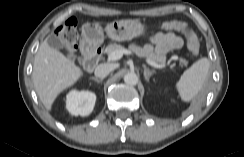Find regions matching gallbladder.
Instances as JSON below:
<instances>
[{
	"mask_svg": "<svg viewBox=\"0 0 244 157\" xmlns=\"http://www.w3.org/2000/svg\"><path fill=\"white\" fill-rule=\"evenodd\" d=\"M46 39L48 45L54 49H67V45L61 37L56 35H49Z\"/></svg>",
	"mask_w": 244,
	"mask_h": 157,
	"instance_id": "gallbladder-1",
	"label": "gallbladder"
}]
</instances>
